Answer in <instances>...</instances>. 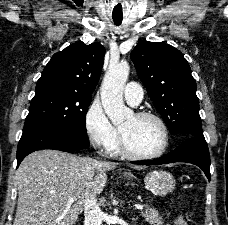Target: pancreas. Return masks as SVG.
<instances>
[{"instance_id":"cf45deb5","label":"pancreas","mask_w":228,"mask_h":225,"mask_svg":"<svg viewBox=\"0 0 228 225\" xmlns=\"http://www.w3.org/2000/svg\"><path fill=\"white\" fill-rule=\"evenodd\" d=\"M145 213H141L142 217H145V221H148L149 225H163L162 217H160L158 211L150 209L148 205H145Z\"/></svg>"}]
</instances>
